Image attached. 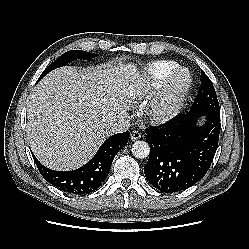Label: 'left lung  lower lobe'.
I'll list each match as a JSON object with an SVG mask.
<instances>
[{"instance_id": "1", "label": "left lung lower lobe", "mask_w": 249, "mask_h": 249, "mask_svg": "<svg viewBox=\"0 0 249 249\" xmlns=\"http://www.w3.org/2000/svg\"><path fill=\"white\" fill-rule=\"evenodd\" d=\"M205 116L207 121L197 127ZM220 113L188 112L165 125L146 130L150 155L144 167L148 181L166 193L187 189L207 173L218 147Z\"/></svg>"}]
</instances>
